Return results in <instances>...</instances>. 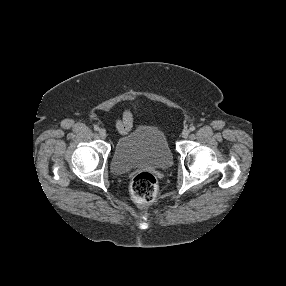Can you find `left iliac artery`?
I'll return each instance as SVG.
<instances>
[{
	"label": "left iliac artery",
	"instance_id": "left-iliac-artery-1",
	"mask_svg": "<svg viewBox=\"0 0 286 286\" xmlns=\"http://www.w3.org/2000/svg\"><path fill=\"white\" fill-rule=\"evenodd\" d=\"M195 129H196L195 126L190 127V131H194Z\"/></svg>",
	"mask_w": 286,
	"mask_h": 286
}]
</instances>
